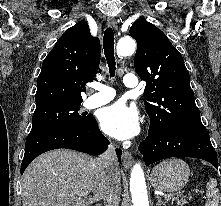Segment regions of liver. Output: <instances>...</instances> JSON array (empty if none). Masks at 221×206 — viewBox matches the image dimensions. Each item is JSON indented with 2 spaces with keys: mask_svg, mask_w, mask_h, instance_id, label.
Segmentation results:
<instances>
[{
  "mask_svg": "<svg viewBox=\"0 0 221 206\" xmlns=\"http://www.w3.org/2000/svg\"><path fill=\"white\" fill-rule=\"evenodd\" d=\"M122 175L119 171V179ZM106 179L98 158L71 150L49 151L23 174L22 206H90L102 199ZM90 193L92 197L82 199Z\"/></svg>",
  "mask_w": 221,
  "mask_h": 206,
  "instance_id": "obj_1",
  "label": "liver"
}]
</instances>
